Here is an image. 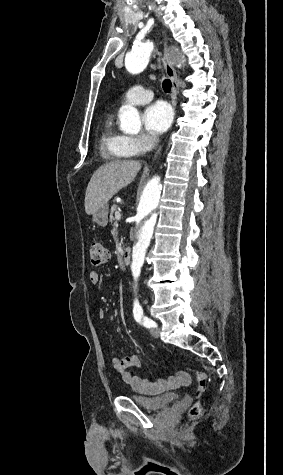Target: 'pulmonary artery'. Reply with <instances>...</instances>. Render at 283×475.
Returning a JSON list of instances; mask_svg holds the SVG:
<instances>
[{"instance_id":"pulmonary-artery-1","label":"pulmonary artery","mask_w":283,"mask_h":475,"mask_svg":"<svg viewBox=\"0 0 283 475\" xmlns=\"http://www.w3.org/2000/svg\"><path fill=\"white\" fill-rule=\"evenodd\" d=\"M155 96V92L151 91L149 87L133 85L126 90L122 101L128 104H143L149 100H154Z\"/></svg>"}]
</instances>
